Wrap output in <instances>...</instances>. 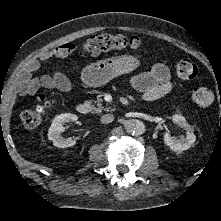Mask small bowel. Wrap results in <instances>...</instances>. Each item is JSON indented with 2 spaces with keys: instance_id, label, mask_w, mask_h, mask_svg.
<instances>
[{
  "instance_id": "small-bowel-1",
  "label": "small bowel",
  "mask_w": 221,
  "mask_h": 221,
  "mask_svg": "<svg viewBox=\"0 0 221 221\" xmlns=\"http://www.w3.org/2000/svg\"><path fill=\"white\" fill-rule=\"evenodd\" d=\"M74 50V44H62L28 62L19 77L20 93L35 95L41 88L56 89L63 92L71 91V80L60 72H54L40 78H34L33 74L39 69L42 62L52 58L66 57ZM130 82L134 88L142 93V97L146 101L158 100L174 88L170 71L163 63H155L148 72L133 76Z\"/></svg>"
}]
</instances>
